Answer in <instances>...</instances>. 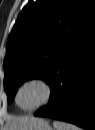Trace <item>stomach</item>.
I'll return each instance as SVG.
<instances>
[{"label":"stomach","instance_id":"0dacf381","mask_svg":"<svg viewBox=\"0 0 95 130\" xmlns=\"http://www.w3.org/2000/svg\"><path fill=\"white\" fill-rule=\"evenodd\" d=\"M17 130H53L49 122L43 118H30L25 124Z\"/></svg>","mask_w":95,"mask_h":130}]
</instances>
